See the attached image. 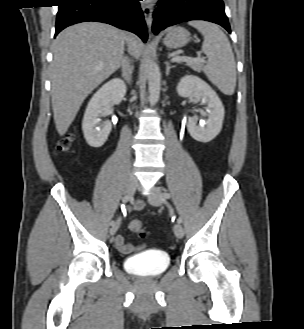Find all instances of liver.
<instances>
[{"mask_svg":"<svg viewBox=\"0 0 304 329\" xmlns=\"http://www.w3.org/2000/svg\"><path fill=\"white\" fill-rule=\"evenodd\" d=\"M125 42L136 58L141 41L111 25L83 22L64 29L53 43L51 97L56 130L64 135L85 98L120 66Z\"/></svg>","mask_w":304,"mask_h":329,"instance_id":"obj_1","label":"liver"}]
</instances>
